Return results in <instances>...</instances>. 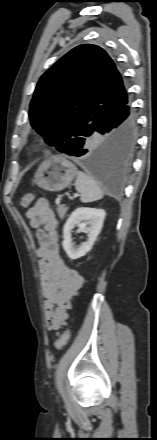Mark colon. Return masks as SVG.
<instances>
[{
  "label": "colon",
  "instance_id": "1",
  "mask_svg": "<svg viewBox=\"0 0 157 440\" xmlns=\"http://www.w3.org/2000/svg\"><path fill=\"white\" fill-rule=\"evenodd\" d=\"M33 199H34L33 194L27 193L22 197L21 205L23 207H28L31 204V202L33 201ZM69 338H70V332L66 328V329H64L62 335L56 340V342L54 344L55 349L61 350L68 343Z\"/></svg>",
  "mask_w": 157,
  "mask_h": 440
}]
</instances>
